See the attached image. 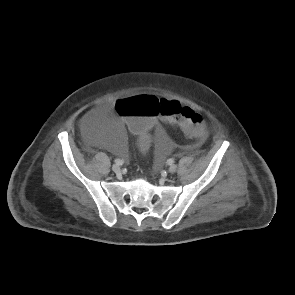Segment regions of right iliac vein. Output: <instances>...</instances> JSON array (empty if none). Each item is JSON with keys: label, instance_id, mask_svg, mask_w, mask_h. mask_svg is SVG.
Instances as JSON below:
<instances>
[{"label": "right iliac vein", "instance_id": "obj_1", "mask_svg": "<svg viewBox=\"0 0 295 295\" xmlns=\"http://www.w3.org/2000/svg\"><path fill=\"white\" fill-rule=\"evenodd\" d=\"M112 170L118 174L121 172V167L118 164H113Z\"/></svg>", "mask_w": 295, "mask_h": 295}]
</instances>
